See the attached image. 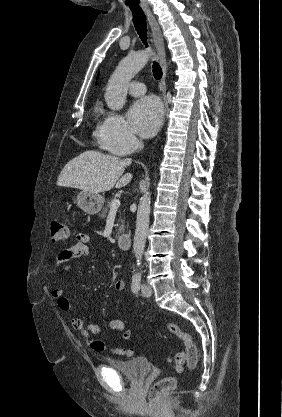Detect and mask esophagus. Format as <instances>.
Here are the masks:
<instances>
[{"label":"esophagus","mask_w":282,"mask_h":417,"mask_svg":"<svg viewBox=\"0 0 282 417\" xmlns=\"http://www.w3.org/2000/svg\"><path fill=\"white\" fill-rule=\"evenodd\" d=\"M148 21L150 24L151 32H152V38L154 41V45L157 52V57L159 58L160 66L162 69V77L159 82V88L162 92V99H163V124L165 123L166 114L168 111V102L166 97V75H167V61H166V52H165V46L163 41L162 32L160 29V26L155 18V16L151 13L150 10H146Z\"/></svg>","instance_id":"obj_1"}]
</instances>
